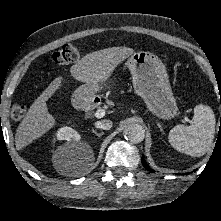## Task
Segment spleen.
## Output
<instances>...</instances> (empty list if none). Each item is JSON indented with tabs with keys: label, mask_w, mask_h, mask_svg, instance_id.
<instances>
[{
	"label": "spleen",
	"mask_w": 221,
	"mask_h": 221,
	"mask_svg": "<svg viewBox=\"0 0 221 221\" xmlns=\"http://www.w3.org/2000/svg\"><path fill=\"white\" fill-rule=\"evenodd\" d=\"M215 124L216 119L211 107L196 105L192 124L176 125L169 132V142L179 152L200 157L208 151L214 140Z\"/></svg>",
	"instance_id": "obj_1"
}]
</instances>
